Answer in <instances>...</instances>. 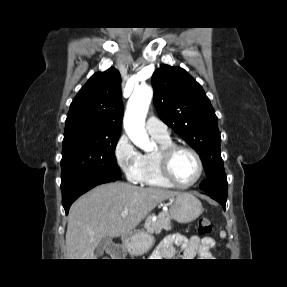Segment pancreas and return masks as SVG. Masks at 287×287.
<instances>
[{"label": "pancreas", "instance_id": "obj_1", "mask_svg": "<svg viewBox=\"0 0 287 287\" xmlns=\"http://www.w3.org/2000/svg\"><path fill=\"white\" fill-rule=\"evenodd\" d=\"M144 228L150 234H159L163 229L171 230V216L169 211L160 212L156 220H153L152 217L147 218Z\"/></svg>", "mask_w": 287, "mask_h": 287}]
</instances>
